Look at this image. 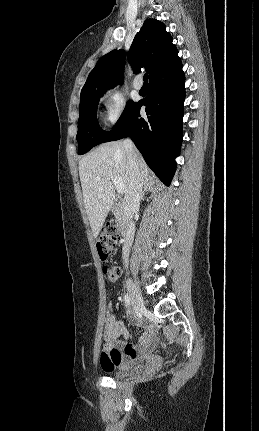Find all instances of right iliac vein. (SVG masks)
<instances>
[{
  "label": "right iliac vein",
  "instance_id": "obj_1",
  "mask_svg": "<svg viewBox=\"0 0 259 431\" xmlns=\"http://www.w3.org/2000/svg\"><path fill=\"white\" fill-rule=\"evenodd\" d=\"M127 288L129 290L131 301L134 308L138 312H142L145 309V306H144V301L141 293L139 292V290L136 288V286L133 284L131 280L127 281Z\"/></svg>",
  "mask_w": 259,
  "mask_h": 431
}]
</instances>
